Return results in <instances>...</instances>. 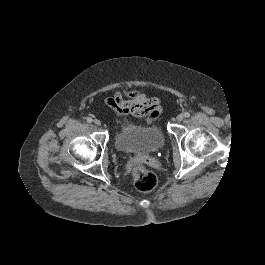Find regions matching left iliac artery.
I'll return each mask as SVG.
<instances>
[{
    "instance_id": "left-iliac-artery-1",
    "label": "left iliac artery",
    "mask_w": 265,
    "mask_h": 265,
    "mask_svg": "<svg viewBox=\"0 0 265 265\" xmlns=\"http://www.w3.org/2000/svg\"><path fill=\"white\" fill-rule=\"evenodd\" d=\"M184 116H185V117H189V116H190V113H189V112H185V113H184Z\"/></svg>"
}]
</instances>
